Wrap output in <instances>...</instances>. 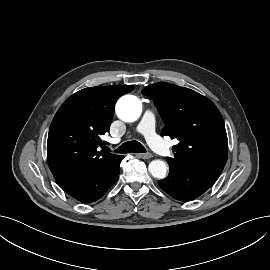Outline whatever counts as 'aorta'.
I'll list each match as a JSON object with an SVG mask.
<instances>
[{
  "instance_id": "obj_1",
  "label": "aorta",
  "mask_w": 270,
  "mask_h": 270,
  "mask_svg": "<svg viewBox=\"0 0 270 270\" xmlns=\"http://www.w3.org/2000/svg\"><path fill=\"white\" fill-rule=\"evenodd\" d=\"M142 112L140 100L133 95L121 97L116 104L117 116L125 122L136 121ZM148 170L156 179H164L167 173V165L162 160H153L150 162Z\"/></svg>"
}]
</instances>
